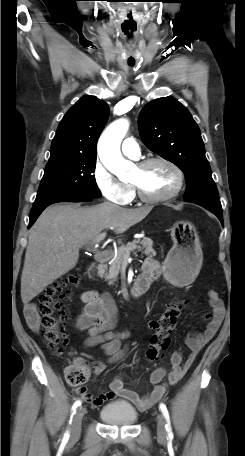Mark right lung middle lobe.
<instances>
[{"instance_id": "obj_1", "label": "right lung middle lobe", "mask_w": 245, "mask_h": 456, "mask_svg": "<svg viewBox=\"0 0 245 456\" xmlns=\"http://www.w3.org/2000/svg\"><path fill=\"white\" fill-rule=\"evenodd\" d=\"M96 156L47 163L33 207L77 197H101L94 173Z\"/></svg>"}]
</instances>
